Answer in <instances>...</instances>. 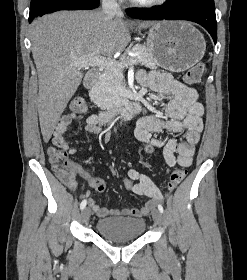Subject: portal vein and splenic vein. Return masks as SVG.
Wrapping results in <instances>:
<instances>
[{"label":"portal vein and splenic vein","mask_w":247,"mask_h":280,"mask_svg":"<svg viewBox=\"0 0 247 280\" xmlns=\"http://www.w3.org/2000/svg\"><path fill=\"white\" fill-rule=\"evenodd\" d=\"M137 61L135 59H131L126 63H119L115 60L108 59L99 55H88L81 58H78L74 61V65L79 67H86V66H95L103 69H110V70H118L119 68L136 64Z\"/></svg>","instance_id":"portal-vein-and-splenic-vein-1"}]
</instances>
